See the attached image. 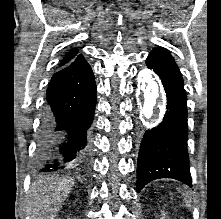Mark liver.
Returning <instances> with one entry per match:
<instances>
[{
  "label": "liver",
  "mask_w": 221,
  "mask_h": 219,
  "mask_svg": "<svg viewBox=\"0 0 221 219\" xmlns=\"http://www.w3.org/2000/svg\"><path fill=\"white\" fill-rule=\"evenodd\" d=\"M73 185L72 178L40 180L33 185L27 202L31 219H54Z\"/></svg>",
  "instance_id": "6515ba94"
}]
</instances>
